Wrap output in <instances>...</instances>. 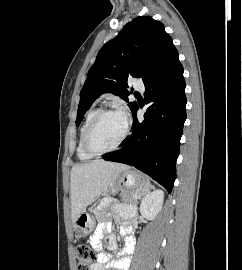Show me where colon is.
<instances>
[{"instance_id":"1","label":"colon","mask_w":242,"mask_h":270,"mask_svg":"<svg viewBox=\"0 0 242 270\" xmlns=\"http://www.w3.org/2000/svg\"><path fill=\"white\" fill-rule=\"evenodd\" d=\"M76 258L78 270H91L95 261V253L85 244L76 247Z\"/></svg>"}]
</instances>
